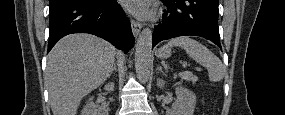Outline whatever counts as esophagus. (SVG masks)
I'll use <instances>...</instances> for the list:
<instances>
[{
	"mask_svg": "<svg viewBox=\"0 0 285 115\" xmlns=\"http://www.w3.org/2000/svg\"><path fill=\"white\" fill-rule=\"evenodd\" d=\"M131 27H132L133 35L135 36V38H137L139 33H140V30L142 28V25L138 21L132 19L131 20Z\"/></svg>",
	"mask_w": 285,
	"mask_h": 115,
	"instance_id": "esophagus-1",
	"label": "esophagus"
}]
</instances>
